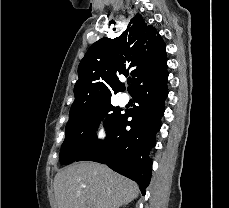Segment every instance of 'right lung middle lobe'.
<instances>
[{"instance_id":"1","label":"right lung middle lobe","mask_w":229,"mask_h":208,"mask_svg":"<svg viewBox=\"0 0 229 208\" xmlns=\"http://www.w3.org/2000/svg\"><path fill=\"white\" fill-rule=\"evenodd\" d=\"M105 118L106 132L113 130L122 118L121 109L104 101L84 115L69 118L66 136L60 151L61 164H70L99 143L95 135L99 122Z\"/></svg>"}]
</instances>
